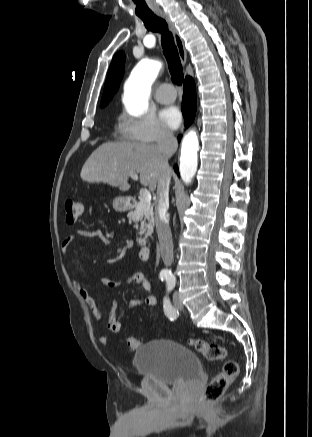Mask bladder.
<instances>
[{
  "instance_id": "bladder-1",
  "label": "bladder",
  "mask_w": 312,
  "mask_h": 437,
  "mask_svg": "<svg viewBox=\"0 0 312 437\" xmlns=\"http://www.w3.org/2000/svg\"><path fill=\"white\" fill-rule=\"evenodd\" d=\"M133 362L140 376L169 385L202 373L201 362L192 350L167 339L152 340L138 348Z\"/></svg>"
}]
</instances>
